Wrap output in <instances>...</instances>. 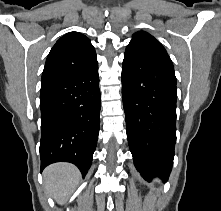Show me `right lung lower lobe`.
Instances as JSON below:
<instances>
[{"label":"right lung lower lobe","instance_id":"1","mask_svg":"<svg viewBox=\"0 0 221 211\" xmlns=\"http://www.w3.org/2000/svg\"><path fill=\"white\" fill-rule=\"evenodd\" d=\"M40 109L41 171L51 163L70 162L85 176L99 134L98 65L42 83Z\"/></svg>","mask_w":221,"mask_h":211}]
</instances>
